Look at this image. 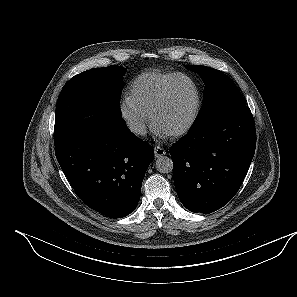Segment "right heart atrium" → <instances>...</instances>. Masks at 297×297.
Segmentation results:
<instances>
[{"label":"right heart atrium","mask_w":297,"mask_h":297,"mask_svg":"<svg viewBox=\"0 0 297 297\" xmlns=\"http://www.w3.org/2000/svg\"><path fill=\"white\" fill-rule=\"evenodd\" d=\"M119 113L123 122L133 135L142 137L146 134L148 128V115L129 97H125L120 101Z\"/></svg>","instance_id":"right-heart-atrium-1"}]
</instances>
